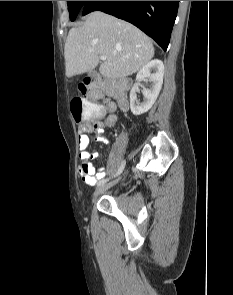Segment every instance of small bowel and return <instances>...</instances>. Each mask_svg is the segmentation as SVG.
Listing matches in <instances>:
<instances>
[{
    "label": "small bowel",
    "mask_w": 233,
    "mask_h": 295,
    "mask_svg": "<svg viewBox=\"0 0 233 295\" xmlns=\"http://www.w3.org/2000/svg\"><path fill=\"white\" fill-rule=\"evenodd\" d=\"M107 106L110 111L115 109V104L108 102ZM116 123V117L114 114H110L105 122H99L91 125L81 127L79 129L78 144H79V158L81 159V164L79 166V173L82 180L88 185H94L96 182L106 175L105 168L101 167L97 171L95 170L92 161L96 160L99 156L98 152H89L87 148L89 146V136L87 133L95 132V140L108 144V140L104 137L103 133L107 127H112Z\"/></svg>",
    "instance_id": "obj_1"
}]
</instances>
